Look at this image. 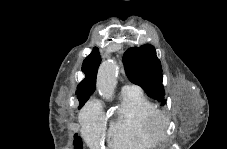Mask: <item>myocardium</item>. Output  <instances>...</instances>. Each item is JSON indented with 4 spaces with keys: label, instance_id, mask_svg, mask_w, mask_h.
Here are the masks:
<instances>
[{
    "label": "myocardium",
    "instance_id": "obj_1",
    "mask_svg": "<svg viewBox=\"0 0 227 149\" xmlns=\"http://www.w3.org/2000/svg\"><path fill=\"white\" fill-rule=\"evenodd\" d=\"M170 120L166 113L155 110L148 119L149 129L157 142L165 143L169 140Z\"/></svg>",
    "mask_w": 227,
    "mask_h": 149
}]
</instances>
